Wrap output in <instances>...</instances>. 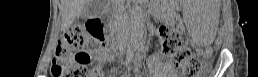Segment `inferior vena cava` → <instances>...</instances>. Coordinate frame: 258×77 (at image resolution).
I'll return each instance as SVG.
<instances>
[{
  "mask_svg": "<svg viewBox=\"0 0 258 77\" xmlns=\"http://www.w3.org/2000/svg\"><path fill=\"white\" fill-rule=\"evenodd\" d=\"M118 1L124 2V0H118ZM116 18H117L118 24L120 26H124L126 24L128 14H127L126 9L124 8L123 4L118 5V8L116 10Z\"/></svg>",
  "mask_w": 258,
  "mask_h": 77,
  "instance_id": "inferior-vena-cava-1",
  "label": "inferior vena cava"
}]
</instances>
